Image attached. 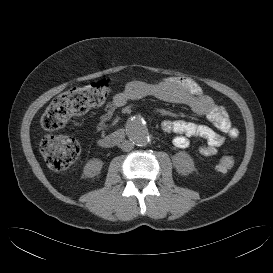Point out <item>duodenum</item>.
Segmentation results:
<instances>
[{"instance_id":"obj_1","label":"duodenum","mask_w":273,"mask_h":273,"mask_svg":"<svg viewBox=\"0 0 273 273\" xmlns=\"http://www.w3.org/2000/svg\"><path fill=\"white\" fill-rule=\"evenodd\" d=\"M125 133L122 129H119L109 135H106L98 140L99 146L103 148H110L118 145L124 140Z\"/></svg>"}]
</instances>
